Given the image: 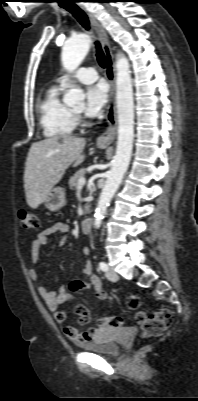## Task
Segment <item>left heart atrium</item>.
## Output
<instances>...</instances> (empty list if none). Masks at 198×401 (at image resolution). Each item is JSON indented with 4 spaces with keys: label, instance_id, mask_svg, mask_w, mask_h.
I'll return each instance as SVG.
<instances>
[{
    "label": "left heart atrium",
    "instance_id": "1",
    "mask_svg": "<svg viewBox=\"0 0 198 401\" xmlns=\"http://www.w3.org/2000/svg\"><path fill=\"white\" fill-rule=\"evenodd\" d=\"M108 99V88L104 82H98L89 86L86 90L85 114L88 117H96L101 114Z\"/></svg>",
    "mask_w": 198,
    "mask_h": 401
}]
</instances>
